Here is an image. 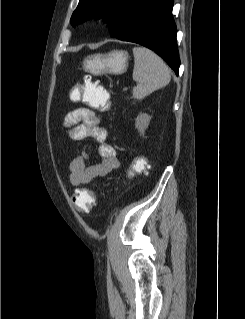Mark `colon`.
<instances>
[{"instance_id": "5ec220e1", "label": "colon", "mask_w": 245, "mask_h": 319, "mask_svg": "<svg viewBox=\"0 0 245 319\" xmlns=\"http://www.w3.org/2000/svg\"><path fill=\"white\" fill-rule=\"evenodd\" d=\"M77 94L79 101L84 102L91 109L107 112L111 108V100L108 92L95 83L89 76L84 78V84L77 89ZM146 170V161L143 158H138L128 170L127 176L132 177L136 174H142L145 173ZM94 202L95 194L90 189H79L72 195V204L80 211L90 209L94 205Z\"/></svg>"}]
</instances>
